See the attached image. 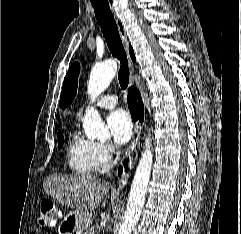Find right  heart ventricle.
Listing matches in <instances>:
<instances>
[{
	"label": "right heart ventricle",
	"mask_w": 241,
	"mask_h": 234,
	"mask_svg": "<svg viewBox=\"0 0 241 234\" xmlns=\"http://www.w3.org/2000/svg\"><path fill=\"white\" fill-rule=\"evenodd\" d=\"M67 161L70 169L77 174L96 173L102 168L98 143L73 132L67 146Z\"/></svg>",
	"instance_id": "e07e8e85"
}]
</instances>
